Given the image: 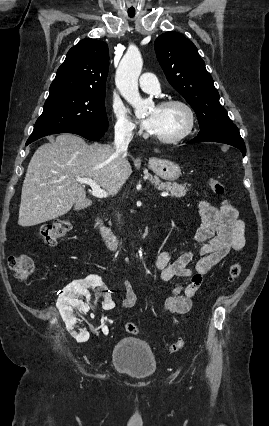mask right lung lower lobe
<instances>
[{"label":"right lung lower lobe","instance_id":"98d812e1","mask_svg":"<svg viewBox=\"0 0 269 426\" xmlns=\"http://www.w3.org/2000/svg\"><path fill=\"white\" fill-rule=\"evenodd\" d=\"M105 131L106 130H98V129L84 127L72 132H67V133H75L89 140H98L104 135ZM31 142L33 141L28 139L26 145L30 144Z\"/></svg>","mask_w":269,"mask_h":426}]
</instances>
